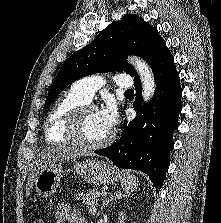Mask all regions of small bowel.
Returning <instances> with one entry per match:
<instances>
[{
  "label": "small bowel",
  "instance_id": "small-bowel-1",
  "mask_svg": "<svg viewBox=\"0 0 221 223\" xmlns=\"http://www.w3.org/2000/svg\"><path fill=\"white\" fill-rule=\"evenodd\" d=\"M56 223H89L80 211L71 210L66 202L58 203L55 210Z\"/></svg>",
  "mask_w": 221,
  "mask_h": 223
}]
</instances>
